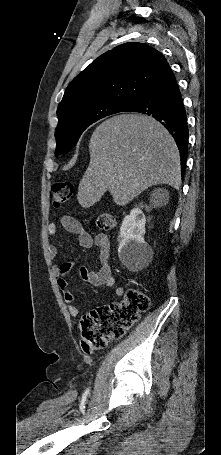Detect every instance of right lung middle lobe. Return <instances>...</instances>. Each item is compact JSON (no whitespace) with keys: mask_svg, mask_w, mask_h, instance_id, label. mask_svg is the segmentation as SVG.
I'll list each match as a JSON object with an SVG mask.
<instances>
[{"mask_svg":"<svg viewBox=\"0 0 221 455\" xmlns=\"http://www.w3.org/2000/svg\"><path fill=\"white\" fill-rule=\"evenodd\" d=\"M128 105L104 101L82 107L58 118V126L55 130L57 141L56 156L70 151L83 131L92 123L106 116L123 112Z\"/></svg>","mask_w":221,"mask_h":455,"instance_id":"dd1d6c3e","label":"right lung middle lobe"}]
</instances>
